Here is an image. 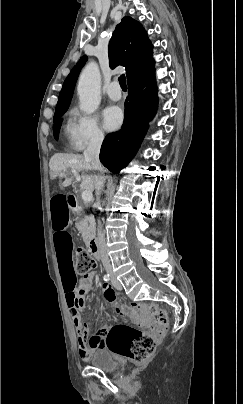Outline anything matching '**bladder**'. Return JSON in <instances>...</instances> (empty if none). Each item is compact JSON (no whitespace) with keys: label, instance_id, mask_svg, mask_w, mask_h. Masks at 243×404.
<instances>
[{"label":"bladder","instance_id":"31cf9c89","mask_svg":"<svg viewBox=\"0 0 243 404\" xmlns=\"http://www.w3.org/2000/svg\"><path fill=\"white\" fill-rule=\"evenodd\" d=\"M90 364L105 372H113L117 370L119 365L112 352L108 349L95 351L90 358Z\"/></svg>","mask_w":243,"mask_h":404}]
</instances>
